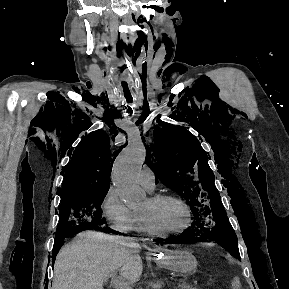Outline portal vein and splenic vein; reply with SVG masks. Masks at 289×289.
Segmentation results:
<instances>
[{
    "mask_svg": "<svg viewBox=\"0 0 289 289\" xmlns=\"http://www.w3.org/2000/svg\"><path fill=\"white\" fill-rule=\"evenodd\" d=\"M110 277H111V285L113 286L114 289H131V287H129L127 283H125L116 276L115 272L111 273ZM188 286L189 285L184 284L181 285V288L186 289Z\"/></svg>",
    "mask_w": 289,
    "mask_h": 289,
    "instance_id": "1",
    "label": "portal vein and splenic vein"
}]
</instances>
